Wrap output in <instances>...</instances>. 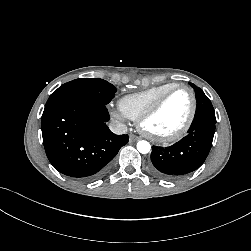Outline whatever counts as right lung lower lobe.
I'll list each match as a JSON object with an SVG mask.
<instances>
[{"label": "right lung lower lobe", "mask_w": 251, "mask_h": 251, "mask_svg": "<svg viewBox=\"0 0 251 251\" xmlns=\"http://www.w3.org/2000/svg\"><path fill=\"white\" fill-rule=\"evenodd\" d=\"M106 105L64 98L45 105L41 118L44 148L50 163L80 181L103 175L128 135H115L106 125Z\"/></svg>", "instance_id": "obj_1"}]
</instances>
